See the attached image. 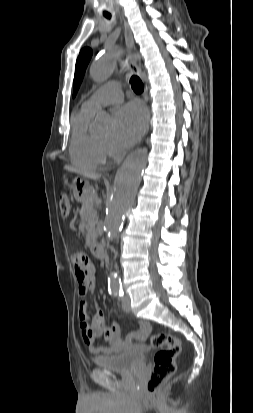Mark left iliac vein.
<instances>
[{"label":"left iliac vein","instance_id":"left-iliac-vein-1","mask_svg":"<svg viewBox=\"0 0 253 413\" xmlns=\"http://www.w3.org/2000/svg\"><path fill=\"white\" fill-rule=\"evenodd\" d=\"M124 308L126 312L130 311V298L128 296L124 297Z\"/></svg>","mask_w":253,"mask_h":413}]
</instances>
